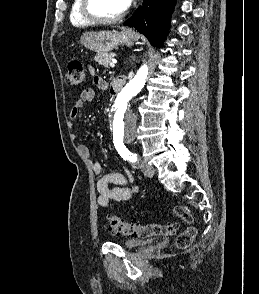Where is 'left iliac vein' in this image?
<instances>
[{
	"mask_svg": "<svg viewBox=\"0 0 259 294\" xmlns=\"http://www.w3.org/2000/svg\"><path fill=\"white\" fill-rule=\"evenodd\" d=\"M142 166H143V172L144 174L149 177L152 178L155 174V169L153 166L149 165V164H145V162H142Z\"/></svg>",
	"mask_w": 259,
	"mask_h": 294,
	"instance_id": "1",
	"label": "left iliac vein"
}]
</instances>
